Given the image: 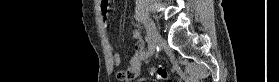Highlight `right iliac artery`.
I'll return each mask as SVG.
<instances>
[{
	"label": "right iliac artery",
	"mask_w": 279,
	"mask_h": 82,
	"mask_svg": "<svg viewBox=\"0 0 279 82\" xmlns=\"http://www.w3.org/2000/svg\"><path fill=\"white\" fill-rule=\"evenodd\" d=\"M148 55H149V52H146V53H145V58L148 57Z\"/></svg>",
	"instance_id": "1"
}]
</instances>
